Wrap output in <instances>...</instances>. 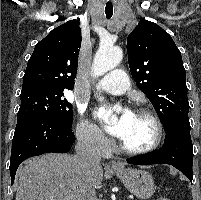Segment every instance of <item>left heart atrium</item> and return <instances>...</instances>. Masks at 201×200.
Masks as SVG:
<instances>
[{
    "label": "left heart atrium",
    "instance_id": "39dd6f15",
    "mask_svg": "<svg viewBox=\"0 0 201 200\" xmlns=\"http://www.w3.org/2000/svg\"><path fill=\"white\" fill-rule=\"evenodd\" d=\"M97 117L102 121L105 122L106 120V110L104 108H100L96 112ZM132 113L126 110L122 116L118 119V121L113 125H108L106 128L107 130L114 136L122 138L124 135L126 125L131 118Z\"/></svg>",
    "mask_w": 201,
    "mask_h": 200
}]
</instances>
